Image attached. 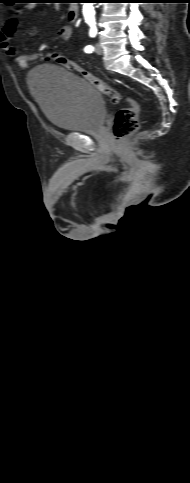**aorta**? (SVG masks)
<instances>
[{"label":"aorta","mask_w":190,"mask_h":483,"mask_svg":"<svg viewBox=\"0 0 190 483\" xmlns=\"http://www.w3.org/2000/svg\"><path fill=\"white\" fill-rule=\"evenodd\" d=\"M83 15L86 21H92L95 17V10L93 3H84L83 5Z\"/></svg>","instance_id":"762f6f07"}]
</instances>
